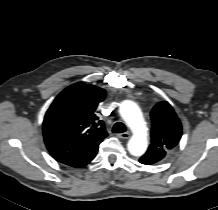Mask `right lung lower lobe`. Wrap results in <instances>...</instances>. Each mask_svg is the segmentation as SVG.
Segmentation results:
<instances>
[{
	"mask_svg": "<svg viewBox=\"0 0 218 210\" xmlns=\"http://www.w3.org/2000/svg\"><path fill=\"white\" fill-rule=\"evenodd\" d=\"M45 144L50 154L58 162L79 168L93 160L100 143L94 145H78L61 139L45 138Z\"/></svg>",
	"mask_w": 218,
	"mask_h": 210,
	"instance_id": "obj_1",
	"label": "right lung lower lobe"
}]
</instances>
